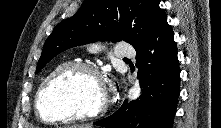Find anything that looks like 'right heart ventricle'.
<instances>
[{"mask_svg": "<svg viewBox=\"0 0 221 128\" xmlns=\"http://www.w3.org/2000/svg\"><path fill=\"white\" fill-rule=\"evenodd\" d=\"M66 64V61L62 60L60 62H58L47 74V76H49L50 74H52L53 72H55L56 70H58L59 68H61L63 65Z\"/></svg>", "mask_w": 221, "mask_h": 128, "instance_id": "1", "label": "right heart ventricle"}]
</instances>
